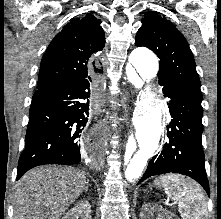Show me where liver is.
Instances as JSON below:
<instances>
[{
  "label": "liver",
  "mask_w": 221,
  "mask_h": 219,
  "mask_svg": "<svg viewBox=\"0 0 221 219\" xmlns=\"http://www.w3.org/2000/svg\"><path fill=\"white\" fill-rule=\"evenodd\" d=\"M88 184L85 173L72 167H37L15 186L13 219H60Z\"/></svg>",
  "instance_id": "1"
}]
</instances>
